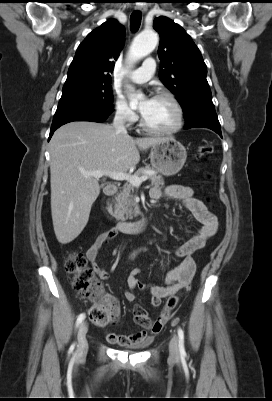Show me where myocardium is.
I'll return each mask as SVG.
<instances>
[{
  "label": "myocardium",
  "instance_id": "obj_1",
  "mask_svg": "<svg viewBox=\"0 0 272 401\" xmlns=\"http://www.w3.org/2000/svg\"><path fill=\"white\" fill-rule=\"evenodd\" d=\"M154 98L167 99L173 104V106L176 110V115H177L176 122L171 128L155 129V128L148 126L145 123V121L141 115L140 121H139L140 128L143 131H145L149 134H154V135H172L174 133H177L183 127V124H184V110H183V107H182L180 101L176 98V96H174L173 94L168 93V92H158L154 96Z\"/></svg>",
  "mask_w": 272,
  "mask_h": 401
}]
</instances>
